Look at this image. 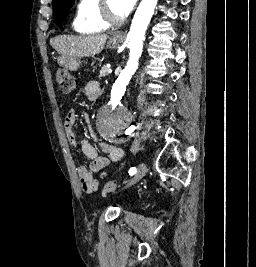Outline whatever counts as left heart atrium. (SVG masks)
Masks as SVG:
<instances>
[{
    "label": "left heart atrium",
    "mask_w": 256,
    "mask_h": 267,
    "mask_svg": "<svg viewBox=\"0 0 256 267\" xmlns=\"http://www.w3.org/2000/svg\"><path fill=\"white\" fill-rule=\"evenodd\" d=\"M119 15V19L115 24L116 28H119L124 20L133 10L136 0H114Z\"/></svg>",
    "instance_id": "left-heart-atrium-1"
}]
</instances>
